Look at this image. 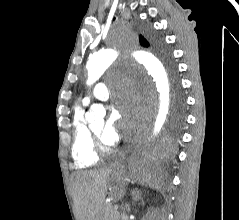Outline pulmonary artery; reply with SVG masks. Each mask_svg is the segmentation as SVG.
<instances>
[{"instance_id": "pulmonary-artery-1", "label": "pulmonary artery", "mask_w": 239, "mask_h": 220, "mask_svg": "<svg viewBox=\"0 0 239 220\" xmlns=\"http://www.w3.org/2000/svg\"><path fill=\"white\" fill-rule=\"evenodd\" d=\"M109 90L108 87L105 83H98L96 84V86L94 87L93 91H92V98L97 99V100H101V101H106L109 99ZM91 100V97H84L82 99V103L84 105L89 104Z\"/></svg>"}]
</instances>
